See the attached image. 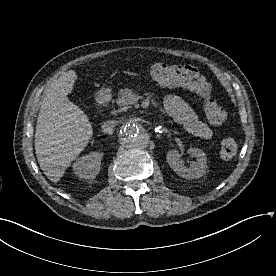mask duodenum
<instances>
[{
	"label": "duodenum",
	"instance_id": "obj_1",
	"mask_svg": "<svg viewBox=\"0 0 276 276\" xmlns=\"http://www.w3.org/2000/svg\"><path fill=\"white\" fill-rule=\"evenodd\" d=\"M111 95L109 92L102 91L97 96V104L99 108L107 106L110 102Z\"/></svg>",
	"mask_w": 276,
	"mask_h": 276
}]
</instances>
